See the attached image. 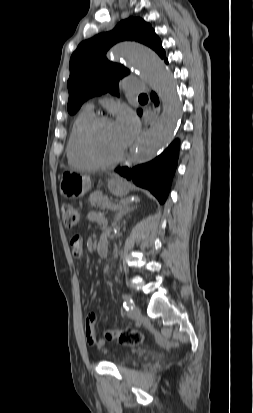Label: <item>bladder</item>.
Listing matches in <instances>:
<instances>
[{"label":"bladder","mask_w":253,"mask_h":413,"mask_svg":"<svg viewBox=\"0 0 253 413\" xmlns=\"http://www.w3.org/2000/svg\"><path fill=\"white\" fill-rule=\"evenodd\" d=\"M129 360H130V358L124 357V358H122V359L120 360V362L123 363V364H125V363H127Z\"/></svg>","instance_id":"obj_1"}]
</instances>
